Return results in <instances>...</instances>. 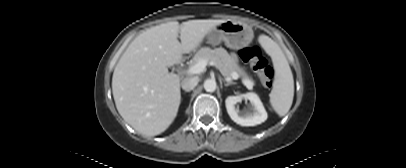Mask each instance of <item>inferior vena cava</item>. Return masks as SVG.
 Segmentation results:
<instances>
[{"label":"inferior vena cava","instance_id":"602c4592","mask_svg":"<svg viewBox=\"0 0 406 168\" xmlns=\"http://www.w3.org/2000/svg\"><path fill=\"white\" fill-rule=\"evenodd\" d=\"M198 84V79L195 77L185 78L181 82L182 89L186 92L193 90Z\"/></svg>","mask_w":406,"mask_h":168}]
</instances>
